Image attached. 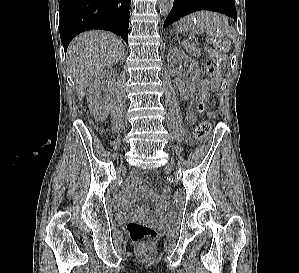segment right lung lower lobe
I'll return each instance as SVG.
<instances>
[{
    "label": "right lung lower lobe",
    "mask_w": 299,
    "mask_h": 273,
    "mask_svg": "<svg viewBox=\"0 0 299 273\" xmlns=\"http://www.w3.org/2000/svg\"><path fill=\"white\" fill-rule=\"evenodd\" d=\"M131 0H60V37L65 50L81 32L111 31L128 43Z\"/></svg>",
    "instance_id": "right-lung-lower-lobe-1"
}]
</instances>
